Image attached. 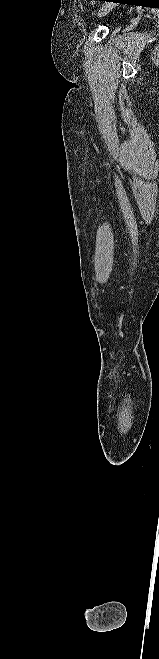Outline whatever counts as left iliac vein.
<instances>
[{
    "label": "left iliac vein",
    "mask_w": 159,
    "mask_h": 659,
    "mask_svg": "<svg viewBox=\"0 0 159 659\" xmlns=\"http://www.w3.org/2000/svg\"><path fill=\"white\" fill-rule=\"evenodd\" d=\"M111 9H112V4H110V3H106L105 5H103V6L100 8V10H99V12H98V17H103V16H105L106 14H108V13L111 11Z\"/></svg>",
    "instance_id": "4c4485c4"
}]
</instances>
